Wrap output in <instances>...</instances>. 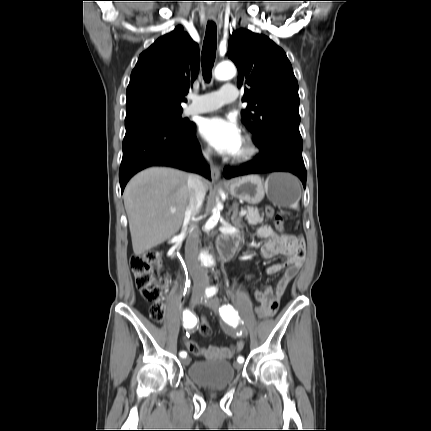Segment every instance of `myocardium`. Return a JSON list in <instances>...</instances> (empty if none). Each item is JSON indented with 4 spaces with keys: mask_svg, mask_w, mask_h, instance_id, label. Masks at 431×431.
Wrapping results in <instances>:
<instances>
[{
    "mask_svg": "<svg viewBox=\"0 0 431 431\" xmlns=\"http://www.w3.org/2000/svg\"><path fill=\"white\" fill-rule=\"evenodd\" d=\"M259 154V147L251 135L243 138V150L235 154L233 161L236 163H246L253 160Z\"/></svg>",
    "mask_w": 431,
    "mask_h": 431,
    "instance_id": "f54148a6",
    "label": "myocardium"
}]
</instances>
